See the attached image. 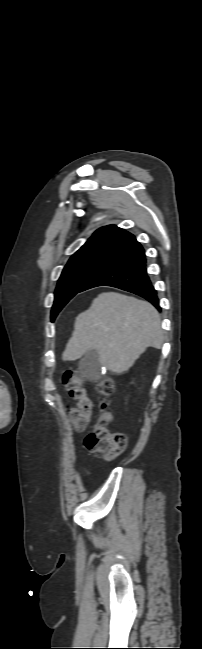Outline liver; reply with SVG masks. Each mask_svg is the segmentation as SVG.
I'll return each mask as SVG.
<instances>
[{
    "label": "liver",
    "mask_w": 202,
    "mask_h": 649,
    "mask_svg": "<svg viewBox=\"0 0 202 649\" xmlns=\"http://www.w3.org/2000/svg\"><path fill=\"white\" fill-rule=\"evenodd\" d=\"M163 332L158 311L147 301L120 293H102L80 313L62 354L75 361L88 350L99 353L106 369L127 371L148 347L160 349Z\"/></svg>",
    "instance_id": "6515ba94"
}]
</instances>
